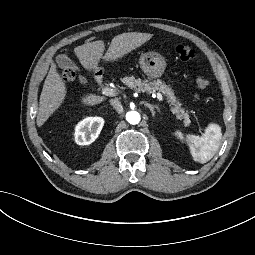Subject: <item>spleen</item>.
Masks as SVG:
<instances>
[{
    "label": "spleen",
    "instance_id": "spleen-1",
    "mask_svg": "<svg viewBox=\"0 0 255 255\" xmlns=\"http://www.w3.org/2000/svg\"><path fill=\"white\" fill-rule=\"evenodd\" d=\"M177 135H183L177 130ZM222 139V128L217 124H212L206 129L204 136L199 138V146L191 151L192 159L200 164L207 163L217 152Z\"/></svg>",
    "mask_w": 255,
    "mask_h": 255
}]
</instances>
